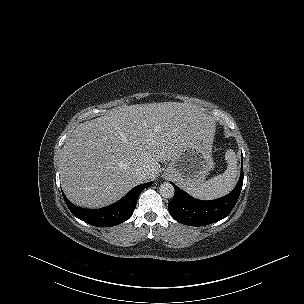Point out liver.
<instances>
[{"label": "liver", "mask_w": 304, "mask_h": 304, "mask_svg": "<svg viewBox=\"0 0 304 304\" xmlns=\"http://www.w3.org/2000/svg\"><path fill=\"white\" fill-rule=\"evenodd\" d=\"M215 127L195 105L179 102L136 104L77 126L61 153L60 177L67 198L77 206L100 208L142 183L137 168L147 169V181L194 139L210 145Z\"/></svg>", "instance_id": "6515ba94"}]
</instances>
